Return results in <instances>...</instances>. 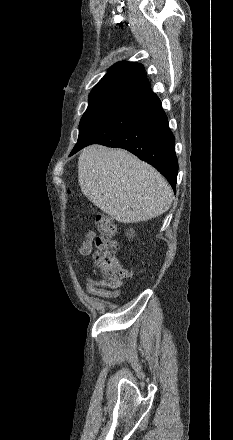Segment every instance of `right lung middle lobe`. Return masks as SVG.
Returning a JSON list of instances; mask_svg holds the SVG:
<instances>
[{
    "label": "right lung middle lobe",
    "instance_id": "obj_1",
    "mask_svg": "<svg viewBox=\"0 0 233 440\" xmlns=\"http://www.w3.org/2000/svg\"><path fill=\"white\" fill-rule=\"evenodd\" d=\"M124 105L125 104L123 103L106 101L89 103L88 108L80 121L77 142H80L103 125L110 117L121 110Z\"/></svg>",
    "mask_w": 233,
    "mask_h": 440
}]
</instances>
